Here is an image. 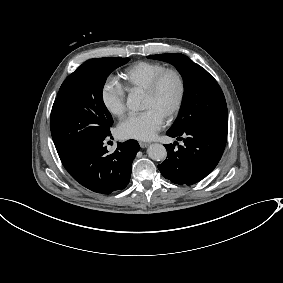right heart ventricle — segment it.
Listing matches in <instances>:
<instances>
[{
    "label": "right heart ventricle",
    "mask_w": 283,
    "mask_h": 283,
    "mask_svg": "<svg viewBox=\"0 0 283 283\" xmlns=\"http://www.w3.org/2000/svg\"><path fill=\"white\" fill-rule=\"evenodd\" d=\"M167 66L156 61H137L125 67L120 76L127 91L144 90L152 79Z\"/></svg>",
    "instance_id": "obj_1"
}]
</instances>
